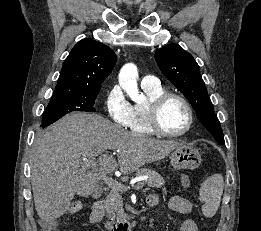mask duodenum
Returning <instances> with one entry per match:
<instances>
[{
    "label": "duodenum",
    "instance_id": "obj_1",
    "mask_svg": "<svg viewBox=\"0 0 261 231\" xmlns=\"http://www.w3.org/2000/svg\"><path fill=\"white\" fill-rule=\"evenodd\" d=\"M104 214L102 202L100 199L96 200L93 204L91 217L93 222H98L101 220ZM133 223L131 221H123L115 224H111L109 229L111 231H131Z\"/></svg>",
    "mask_w": 261,
    "mask_h": 231
}]
</instances>
